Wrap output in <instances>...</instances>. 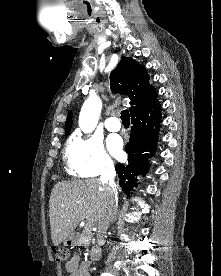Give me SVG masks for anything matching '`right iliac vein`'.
<instances>
[{
    "mask_svg": "<svg viewBox=\"0 0 221 276\" xmlns=\"http://www.w3.org/2000/svg\"><path fill=\"white\" fill-rule=\"evenodd\" d=\"M112 276H117V275L113 273V275H112Z\"/></svg>",
    "mask_w": 221,
    "mask_h": 276,
    "instance_id": "obj_1",
    "label": "right iliac vein"
}]
</instances>
